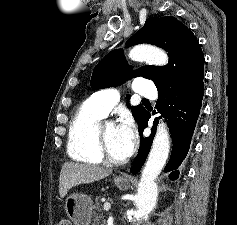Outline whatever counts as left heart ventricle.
Wrapping results in <instances>:
<instances>
[{"label":"left heart ventricle","mask_w":237,"mask_h":225,"mask_svg":"<svg viewBox=\"0 0 237 225\" xmlns=\"http://www.w3.org/2000/svg\"><path fill=\"white\" fill-rule=\"evenodd\" d=\"M104 136L111 156L115 159H124L119 147L117 127L112 123H106L104 126Z\"/></svg>","instance_id":"1"}]
</instances>
